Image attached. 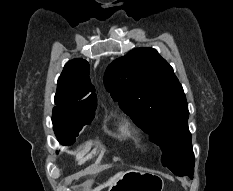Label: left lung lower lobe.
<instances>
[{"instance_id": "obj_1", "label": "left lung lower lobe", "mask_w": 233, "mask_h": 191, "mask_svg": "<svg viewBox=\"0 0 233 191\" xmlns=\"http://www.w3.org/2000/svg\"><path fill=\"white\" fill-rule=\"evenodd\" d=\"M193 173H194V169L193 170H187V171H184L182 172V174H176L174 173L175 175H178V176H183V175H187L190 177V179H193Z\"/></svg>"}]
</instances>
